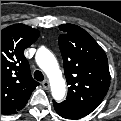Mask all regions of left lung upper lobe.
Returning <instances> with one entry per match:
<instances>
[{
	"label": "left lung upper lobe",
	"mask_w": 121,
	"mask_h": 121,
	"mask_svg": "<svg viewBox=\"0 0 121 121\" xmlns=\"http://www.w3.org/2000/svg\"><path fill=\"white\" fill-rule=\"evenodd\" d=\"M59 29L67 80V99L54 102L57 113L67 119H80L92 112L105 97L110 85L108 60L104 50L82 28L70 23Z\"/></svg>",
	"instance_id": "obj_1"
}]
</instances>
